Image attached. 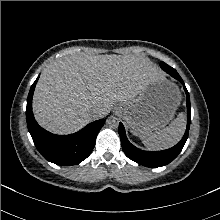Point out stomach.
<instances>
[{
  "label": "stomach",
  "mask_w": 220,
  "mask_h": 220,
  "mask_svg": "<svg viewBox=\"0 0 220 220\" xmlns=\"http://www.w3.org/2000/svg\"><path fill=\"white\" fill-rule=\"evenodd\" d=\"M180 101L177 85L161 75L148 83L137 97L118 104L117 109L130 131L140 136L165 127Z\"/></svg>",
  "instance_id": "stomach-1"
}]
</instances>
